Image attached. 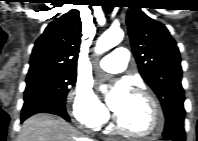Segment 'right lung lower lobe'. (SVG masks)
Segmentation results:
<instances>
[{
  "label": "right lung lower lobe",
  "mask_w": 198,
  "mask_h": 141,
  "mask_svg": "<svg viewBox=\"0 0 198 141\" xmlns=\"http://www.w3.org/2000/svg\"><path fill=\"white\" fill-rule=\"evenodd\" d=\"M36 113H51L61 116L67 121H70V118L65 110V107L57 105L52 102L40 101V100H30L24 102L22 108V114H21V121L23 122L25 119Z\"/></svg>",
  "instance_id": "1"
}]
</instances>
